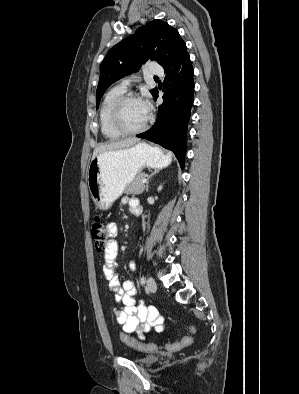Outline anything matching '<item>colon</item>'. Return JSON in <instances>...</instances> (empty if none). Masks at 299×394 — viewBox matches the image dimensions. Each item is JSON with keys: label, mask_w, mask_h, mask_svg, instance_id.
<instances>
[{"label": "colon", "mask_w": 299, "mask_h": 394, "mask_svg": "<svg viewBox=\"0 0 299 394\" xmlns=\"http://www.w3.org/2000/svg\"><path fill=\"white\" fill-rule=\"evenodd\" d=\"M90 232L95 248L97 250L106 249L109 244L110 236L106 224L100 217H96L94 219L91 225ZM193 333H194V329H191V335L186 336L180 342L169 345V347L172 349H177V348L189 346L193 342V336H192ZM120 337L125 343L133 347H136L137 349L142 351H149L157 348L155 345H143L139 342H136L124 333H121Z\"/></svg>", "instance_id": "5ec220e1"}]
</instances>
